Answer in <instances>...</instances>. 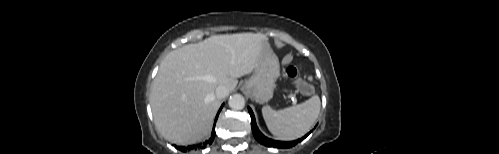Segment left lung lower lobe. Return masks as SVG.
I'll return each instance as SVG.
<instances>
[{
  "label": "left lung lower lobe",
  "mask_w": 499,
  "mask_h": 154,
  "mask_svg": "<svg viewBox=\"0 0 499 154\" xmlns=\"http://www.w3.org/2000/svg\"><path fill=\"white\" fill-rule=\"evenodd\" d=\"M248 111H249V114L251 116V127H252L253 135L258 142H260L261 144H263L265 146L278 147V148H289V147L296 145L297 143H299L300 141L305 139L310 134V132H309L301 139H298V140H295L292 142H281V141L269 139L259 131V129L256 125V122H255V117H254L252 110L250 108H248Z\"/></svg>",
  "instance_id": "left-lung-lower-lobe-1"
}]
</instances>
